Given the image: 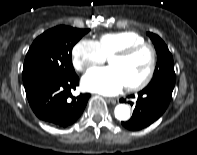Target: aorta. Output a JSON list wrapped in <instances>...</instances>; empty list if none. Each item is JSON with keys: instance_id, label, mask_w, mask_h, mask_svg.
I'll use <instances>...</instances> for the list:
<instances>
[{"instance_id": "obj_1", "label": "aorta", "mask_w": 197, "mask_h": 155, "mask_svg": "<svg viewBox=\"0 0 197 155\" xmlns=\"http://www.w3.org/2000/svg\"><path fill=\"white\" fill-rule=\"evenodd\" d=\"M115 117L120 121H126L130 118V108L128 105L119 104L114 110Z\"/></svg>"}]
</instances>
